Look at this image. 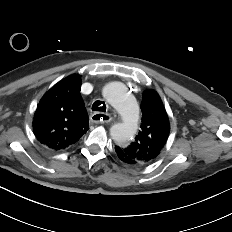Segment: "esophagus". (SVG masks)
Masks as SVG:
<instances>
[{
    "instance_id": "1",
    "label": "esophagus",
    "mask_w": 232,
    "mask_h": 232,
    "mask_svg": "<svg viewBox=\"0 0 232 232\" xmlns=\"http://www.w3.org/2000/svg\"><path fill=\"white\" fill-rule=\"evenodd\" d=\"M91 121L97 124L109 123L112 120V116L108 113L96 112L92 114Z\"/></svg>"
}]
</instances>
